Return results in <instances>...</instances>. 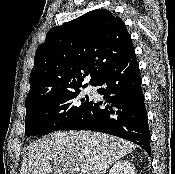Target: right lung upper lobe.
<instances>
[{"label":"right lung upper lobe","mask_w":175,"mask_h":174,"mask_svg":"<svg viewBox=\"0 0 175 174\" xmlns=\"http://www.w3.org/2000/svg\"><path fill=\"white\" fill-rule=\"evenodd\" d=\"M134 52L122 19L105 9L54 27L36 51L25 104L79 88L88 75L94 85L111 66Z\"/></svg>","instance_id":"cb5924a9"}]
</instances>
